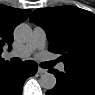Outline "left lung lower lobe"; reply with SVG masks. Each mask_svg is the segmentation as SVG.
Segmentation results:
<instances>
[{
    "instance_id": "obj_1",
    "label": "left lung lower lobe",
    "mask_w": 95,
    "mask_h": 95,
    "mask_svg": "<svg viewBox=\"0 0 95 95\" xmlns=\"http://www.w3.org/2000/svg\"><path fill=\"white\" fill-rule=\"evenodd\" d=\"M65 72L50 69L57 79L56 86L47 95H95V72L65 66Z\"/></svg>"
}]
</instances>
